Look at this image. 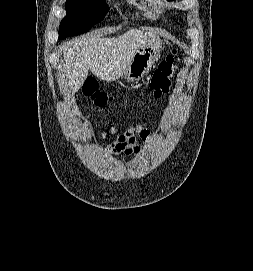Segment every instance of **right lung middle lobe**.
<instances>
[{"label":"right lung middle lobe","mask_w":253,"mask_h":271,"mask_svg":"<svg viewBox=\"0 0 253 271\" xmlns=\"http://www.w3.org/2000/svg\"><path fill=\"white\" fill-rule=\"evenodd\" d=\"M65 9L67 14L60 24V39L89 31L108 11L102 0H67Z\"/></svg>","instance_id":"dd1d6c3e"}]
</instances>
